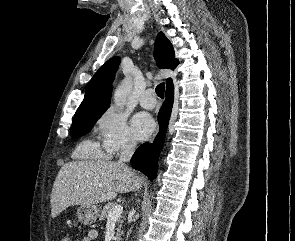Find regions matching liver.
Wrapping results in <instances>:
<instances>
[{
    "mask_svg": "<svg viewBox=\"0 0 295 241\" xmlns=\"http://www.w3.org/2000/svg\"><path fill=\"white\" fill-rule=\"evenodd\" d=\"M142 180L127 166L111 161L65 163L51 193V216L57 217L71 205H93L112 200L118 193L132 192Z\"/></svg>",
    "mask_w": 295,
    "mask_h": 241,
    "instance_id": "liver-1",
    "label": "liver"
}]
</instances>
